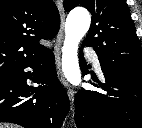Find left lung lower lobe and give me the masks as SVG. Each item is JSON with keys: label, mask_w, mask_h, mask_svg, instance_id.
I'll use <instances>...</instances> for the list:
<instances>
[{"label": "left lung lower lobe", "mask_w": 142, "mask_h": 128, "mask_svg": "<svg viewBox=\"0 0 142 128\" xmlns=\"http://www.w3.org/2000/svg\"><path fill=\"white\" fill-rule=\"evenodd\" d=\"M80 53V68L85 76L88 70ZM101 68L105 82L97 79H93L96 83L89 82L100 90H81L76 96L77 127L142 128V76L109 71L102 64Z\"/></svg>", "instance_id": "obj_1"}]
</instances>
